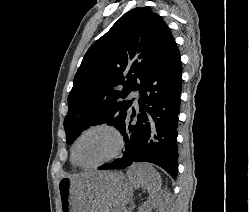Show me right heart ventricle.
<instances>
[{
    "label": "right heart ventricle",
    "mask_w": 249,
    "mask_h": 212,
    "mask_svg": "<svg viewBox=\"0 0 249 212\" xmlns=\"http://www.w3.org/2000/svg\"><path fill=\"white\" fill-rule=\"evenodd\" d=\"M70 161H71V164H72L73 166H75V164H74V163H73V161H72V158H71V160H70Z\"/></svg>",
    "instance_id": "e07e8e85"
}]
</instances>
